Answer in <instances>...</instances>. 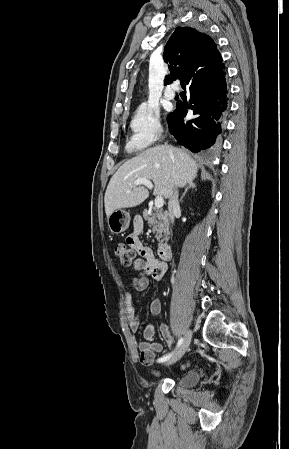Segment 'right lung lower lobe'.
<instances>
[{
  "instance_id": "right-lung-lower-lobe-1",
  "label": "right lung lower lobe",
  "mask_w": 289,
  "mask_h": 449,
  "mask_svg": "<svg viewBox=\"0 0 289 449\" xmlns=\"http://www.w3.org/2000/svg\"><path fill=\"white\" fill-rule=\"evenodd\" d=\"M224 69L222 64L207 77L190 83L191 105L178 101L177 108L168 116L170 133L180 145L194 153L214 149L220 144L228 101ZM187 108L193 110L194 118L184 124Z\"/></svg>"
}]
</instances>
